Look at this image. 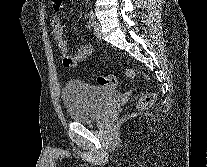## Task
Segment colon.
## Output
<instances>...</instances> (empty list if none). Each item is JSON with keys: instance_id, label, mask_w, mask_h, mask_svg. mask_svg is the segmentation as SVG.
<instances>
[{"instance_id": "5ec220e1", "label": "colon", "mask_w": 207, "mask_h": 167, "mask_svg": "<svg viewBox=\"0 0 207 167\" xmlns=\"http://www.w3.org/2000/svg\"><path fill=\"white\" fill-rule=\"evenodd\" d=\"M126 75L130 78H134L135 72L132 69L126 71ZM97 83L105 87H114L119 83V77L117 76H99ZM156 100L155 93L144 94L137 103V108L140 110L150 107Z\"/></svg>"}]
</instances>
